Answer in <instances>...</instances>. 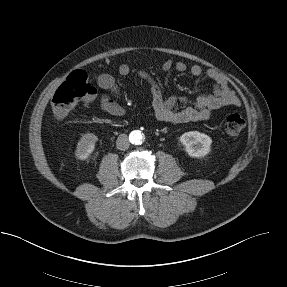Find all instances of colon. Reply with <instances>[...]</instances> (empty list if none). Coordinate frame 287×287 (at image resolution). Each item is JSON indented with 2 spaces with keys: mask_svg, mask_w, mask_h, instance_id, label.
Segmentation results:
<instances>
[{
  "mask_svg": "<svg viewBox=\"0 0 287 287\" xmlns=\"http://www.w3.org/2000/svg\"><path fill=\"white\" fill-rule=\"evenodd\" d=\"M96 95V88L90 83L88 74L77 70L69 75L56 90L51 107L55 116L63 119L80 102H87ZM245 126L244 118L238 113H229L224 121V129L229 135L239 134Z\"/></svg>",
  "mask_w": 287,
  "mask_h": 287,
  "instance_id": "obj_1",
  "label": "colon"
}]
</instances>
